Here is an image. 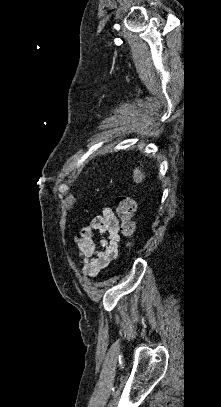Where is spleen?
I'll return each mask as SVG.
<instances>
[{"mask_svg":"<svg viewBox=\"0 0 221 407\" xmlns=\"http://www.w3.org/2000/svg\"><path fill=\"white\" fill-rule=\"evenodd\" d=\"M145 178L144 173H142L139 169L134 170V181L136 183H141Z\"/></svg>","mask_w":221,"mask_h":407,"instance_id":"1","label":"spleen"}]
</instances>
